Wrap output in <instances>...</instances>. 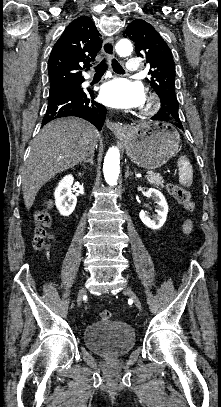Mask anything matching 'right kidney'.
I'll return each instance as SVG.
<instances>
[{
    "label": "right kidney",
    "mask_w": 221,
    "mask_h": 407,
    "mask_svg": "<svg viewBox=\"0 0 221 407\" xmlns=\"http://www.w3.org/2000/svg\"><path fill=\"white\" fill-rule=\"evenodd\" d=\"M73 181L72 175H66L55 189V204L62 216L71 215L77 203V198L72 193Z\"/></svg>",
    "instance_id": "obj_1"
}]
</instances>
